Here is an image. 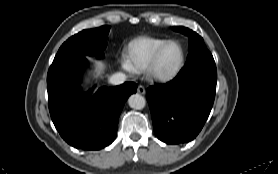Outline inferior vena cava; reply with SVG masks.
<instances>
[{
    "instance_id": "inferior-vena-cava-1",
    "label": "inferior vena cava",
    "mask_w": 278,
    "mask_h": 174,
    "mask_svg": "<svg viewBox=\"0 0 278 174\" xmlns=\"http://www.w3.org/2000/svg\"><path fill=\"white\" fill-rule=\"evenodd\" d=\"M125 81H126V75L121 72L113 74L109 79V82L113 85H120Z\"/></svg>"
}]
</instances>
